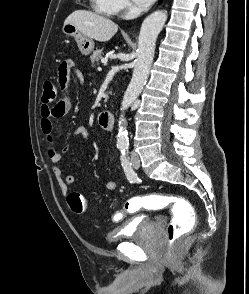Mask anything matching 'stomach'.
<instances>
[{
	"label": "stomach",
	"mask_w": 249,
	"mask_h": 294,
	"mask_svg": "<svg viewBox=\"0 0 249 294\" xmlns=\"http://www.w3.org/2000/svg\"><path fill=\"white\" fill-rule=\"evenodd\" d=\"M62 32L68 37H74L82 55H89L94 49V42L91 38L83 35L75 25L66 23Z\"/></svg>",
	"instance_id": "stomach-1"
}]
</instances>
